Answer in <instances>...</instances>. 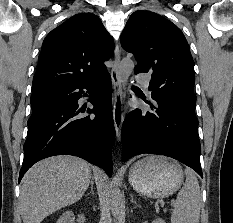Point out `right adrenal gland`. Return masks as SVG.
Here are the masks:
<instances>
[{"label":"right adrenal gland","mask_w":233,"mask_h":223,"mask_svg":"<svg viewBox=\"0 0 233 223\" xmlns=\"http://www.w3.org/2000/svg\"><path fill=\"white\" fill-rule=\"evenodd\" d=\"M93 177H91V181H90V187H91V191H89V193H87V195H90V193H94V187H93Z\"/></svg>","instance_id":"1"}]
</instances>
